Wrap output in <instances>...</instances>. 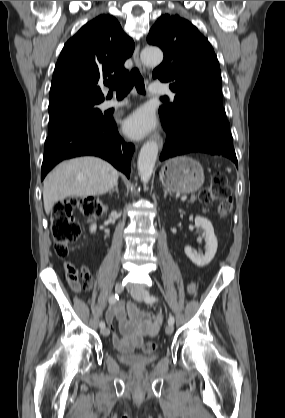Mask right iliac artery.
<instances>
[{
	"instance_id": "82829eb1",
	"label": "right iliac artery",
	"mask_w": 285,
	"mask_h": 418,
	"mask_svg": "<svg viewBox=\"0 0 285 418\" xmlns=\"http://www.w3.org/2000/svg\"><path fill=\"white\" fill-rule=\"evenodd\" d=\"M119 299V297H118V295L117 294H115V295H112L110 298H109V303L110 304H114V303H116V301ZM99 326L101 327V328H104L105 327V323L103 322V321H101L100 322V324H99Z\"/></svg>"
}]
</instances>
